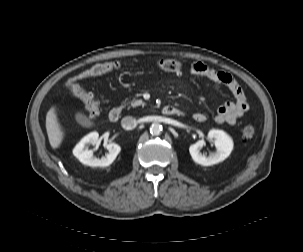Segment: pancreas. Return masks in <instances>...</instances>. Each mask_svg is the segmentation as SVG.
Wrapping results in <instances>:
<instances>
[{
	"label": "pancreas",
	"mask_w": 303,
	"mask_h": 252,
	"mask_svg": "<svg viewBox=\"0 0 303 252\" xmlns=\"http://www.w3.org/2000/svg\"><path fill=\"white\" fill-rule=\"evenodd\" d=\"M128 105H129L128 108L137 107V106H140V105H144V102L140 99L139 100L133 99L132 101L128 102Z\"/></svg>",
	"instance_id": "pancreas-1"
}]
</instances>
